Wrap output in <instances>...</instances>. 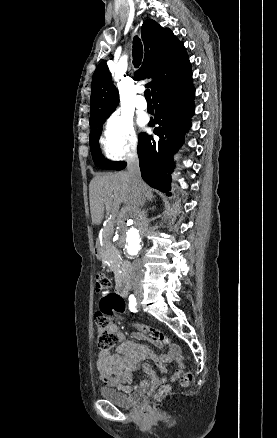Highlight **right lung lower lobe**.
I'll return each mask as SVG.
<instances>
[{
    "label": "right lung lower lobe",
    "instance_id": "1",
    "mask_svg": "<svg viewBox=\"0 0 277 438\" xmlns=\"http://www.w3.org/2000/svg\"><path fill=\"white\" fill-rule=\"evenodd\" d=\"M194 94L191 67L181 76L162 84L152 94L156 110L154 123L159 124L154 133L160 140L155 141L150 135L140 134L139 165L144 181L162 192L170 190V174L175 167L173 154L182 144L181 134L190 128V118L194 114ZM125 167L126 163L122 162L115 170Z\"/></svg>",
    "mask_w": 277,
    "mask_h": 438
}]
</instances>
